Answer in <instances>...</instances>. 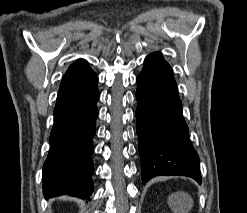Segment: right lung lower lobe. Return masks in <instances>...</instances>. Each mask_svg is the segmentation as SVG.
<instances>
[{"label": "right lung lower lobe", "instance_id": "98d812e1", "mask_svg": "<svg viewBox=\"0 0 247 213\" xmlns=\"http://www.w3.org/2000/svg\"><path fill=\"white\" fill-rule=\"evenodd\" d=\"M98 77L90 67L67 72L60 84L43 166L46 198L68 194L88 199L93 192L92 137L98 116Z\"/></svg>", "mask_w": 247, "mask_h": 213}]
</instances>
